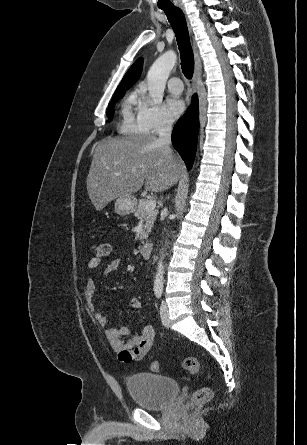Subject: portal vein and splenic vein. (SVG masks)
Masks as SVG:
<instances>
[{"instance_id":"obj_1","label":"portal vein and splenic vein","mask_w":307,"mask_h":445,"mask_svg":"<svg viewBox=\"0 0 307 445\" xmlns=\"http://www.w3.org/2000/svg\"><path fill=\"white\" fill-rule=\"evenodd\" d=\"M133 172H136L137 168H132ZM114 174H121V172H114ZM146 210H153V208H155L156 206V200H153V198H149V200H147L146 204Z\"/></svg>"}]
</instances>
